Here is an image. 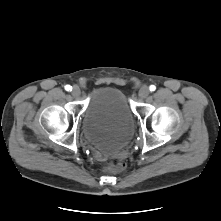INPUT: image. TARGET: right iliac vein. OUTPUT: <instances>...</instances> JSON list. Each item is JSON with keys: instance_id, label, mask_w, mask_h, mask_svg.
<instances>
[{"instance_id": "1", "label": "right iliac vein", "mask_w": 221, "mask_h": 221, "mask_svg": "<svg viewBox=\"0 0 221 221\" xmlns=\"http://www.w3.org/2000/svg\"><path fill=\"white\" fill-rule=\"evenodd\" d=\"M71 93L75 97L79 96L81 93L80 88L78 86H74Z\"/></svg>"}]
</instances>
